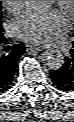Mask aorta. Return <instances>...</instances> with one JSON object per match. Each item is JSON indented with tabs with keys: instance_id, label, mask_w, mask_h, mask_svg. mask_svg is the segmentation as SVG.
<instances>
[{
	"instance_id": "obj_1",
	"label": "aorta",
	"mask_w": 74,
	"mask_h": 122,
	"mask_svg": "<svg viewBox=\"0 0 74 122\" xmlns=\"http://www.w3.org/2000/svg\"><path fill=\"white\" fill-rule=\"evenodd\" d=\"M24 3L27 7L38 10L48 7L51 1H25ZM42 62L46 68L57 70L64 64V56L59 50L49 49L43 53Z\"/></svg>"
}]
</instances>
